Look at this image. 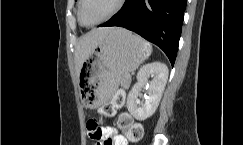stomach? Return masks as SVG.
Listing matches in <instances>:
<instances>
[{
	"label": "stomach",
	"mask_w": 243,
	"mask_h": 145,
	"mask_svg": "<svg viewBox=\"0 0 243 145\" xmlns=\"http://www.w3.org/2000/svg\"><path fill=\"white\" fill-rule=\"evenodd\" d=\"M151 50L139 36L114 28L81 67L78 83L84 88L79 102L89 108L104 106L118 89L122 76L135 70Z\"/></svg>",
	"instance_id": "0dacf381"
}]
</instances>
